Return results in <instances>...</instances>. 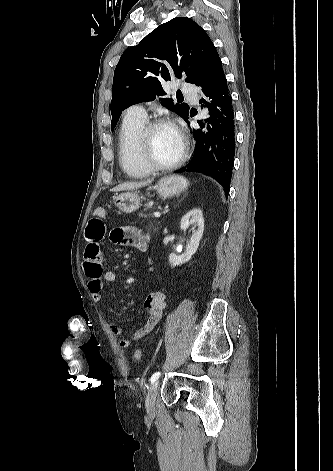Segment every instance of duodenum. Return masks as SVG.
Segmentation results:
<instances>
[{"instance_id":"1","label":"duodenum","mask_w":333,"mask_h":471,"mask_svg":"<svg viewBox=\"0 0 333 471\" xmlns=\"http://www.w3.org/2000/svg\"><path fill=\"white\" fill-rule=\"evenodd\" d=\"M146 247H147L146 243H142L141 250H146Z\"/></svg>"}]
</instances>
